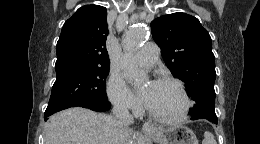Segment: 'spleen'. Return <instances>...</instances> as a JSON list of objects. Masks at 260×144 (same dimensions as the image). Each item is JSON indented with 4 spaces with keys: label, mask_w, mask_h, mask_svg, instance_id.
I'll use <instances>...</instances> for the list:
<instances>
[{
    "label": "spleen",
    "mask_w": 260,
    "mask_h": 144,
    "mask_svg": "<svg viewBox=\"0 0 260 144\" xmlns=\"http://www.w3.org/2000/svg\"><path fill=\"white\" fill-rule=\"evenodd\" d=\"M203 144H217L216 143V140H215V137L214 135L209 132V131H206L204 133V141H203Z\"/></svg>",
    "instance_id": "obj_1"
}]
</instances>
